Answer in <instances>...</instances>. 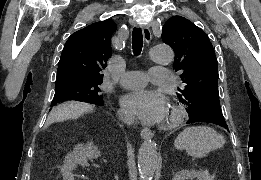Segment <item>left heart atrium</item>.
I'll list each match as a JSON object with an SVG mask.
<instances>
[{"label": "left heart atrium", "mask_w": 261, "mask_h": 180, "mask_svg": "<svg viewBox=\"0 0 261 180\" xmlns=\"http://www.w3.org/2000/svg\"><path fill=\"white\" fill-rule=\"evenodd\" d=\"M121 103L128 114L144 121H155L164 112L167 98L160 90L142 88L125 93Z\"/></svg>", "instance_id": "left-heart-atrium-1"}]
</instances>
